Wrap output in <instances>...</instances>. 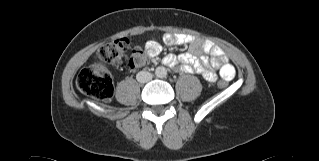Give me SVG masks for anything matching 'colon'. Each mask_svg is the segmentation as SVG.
Returning a JSON list of instances; mask_svg holds the SVG:
<instances>
[{
    "label": "colon",
    "instance_id": "colon-1",
    "mask_svg": "<svg viewBox=\"0 0 319 161\" xmlns=\"http://www.w3.org/2000/svg\"><path fill=\"white\" fill-rule=\"evenodd\" d=\"M100 58L117 68L139 69L146 63L144 50L130 53V42L127 38L115 39L99 49ZM220 87L225 85L223 80L218 82ZM77 88L86 96L98 100H108L114 94L113 78L102 63L81 70L77 77Z\"/></svg>",
    "mask_w": 319,
    "mask_h": 161
}]
</instances>
